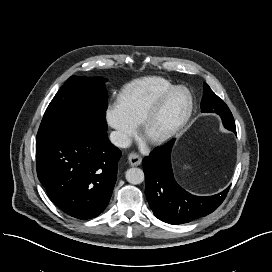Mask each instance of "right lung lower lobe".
<instances>
[{
  "mask_svg": "<svg viewBox=\"0 0 272 272\" xmlns=\"http://www.w3.org/2000/svg\"><path fill=\"white\" fill-rule=\"evenodd\" d=\"M121 154L106 131L77 128L39 134L37 175L60 210L86 220L98 216L109 203Z\"/></svg>",
  "mask_w": 272,
  "mask_h": 272,
  "instance_id": "98d812e1",
  "label": "right lung lower lobe"
}]
</instances>
